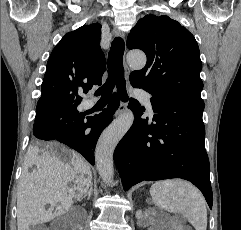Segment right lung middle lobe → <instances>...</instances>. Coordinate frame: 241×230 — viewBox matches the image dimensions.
I'll list each match as a JSON object with an SVG mask.
<instances>
[{
  "label": "right lung middle lobe",
  "mask_w": 241,
  "mask_h": 230,
  "mask_svg": "<svg viewBox=\"0 0 241 230\" xmlns=\"http://www.w3.org/2000/svg\"><path fill=\"white\" fill-rule=\"evenodd\" d=\"M79 103L66 105L38 106L37 111L45 116L42 123L53 127L58 131H66L78 125L85 117L84 113L78 111Z\"/></svg>",
  "instance_id": "obj_1"
}]
</instances>
